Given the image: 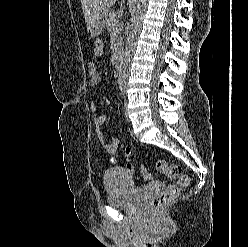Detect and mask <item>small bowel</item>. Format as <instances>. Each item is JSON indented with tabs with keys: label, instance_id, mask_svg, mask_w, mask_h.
<instances>
[{
	"label": "small bowel",
	"instance_id": "obj_1",
	"mask_svg": "<svg viewBox=\"0 0 248 247\" xmlns=\"http://www.w3.org/2000/svg\"><path fill=\"white\" fill-rule=\"evenodd\" d=\"M103 54V43L101 41H97L95 44V47L92 52V59L88 65V70H89V76H90V83L92 86H97L101 82V76L99 73V69L96 63V59L99 58ZM90 110L92 112H96L98 110V104L96 102H91L90 104ZM106 121V116L104 114H99L95 116L93 122L97 130V135L99 139L103 140V133L101 130V127ZM119 146V140L116 137H112V140L110 143H103L104 150L106 151L107 154L112 156L111 161L114 163V155L116 154ZM131 154L132 150L130 147H126L124 149V156L126 163L122 166L123 169H125L132 177L134 181V167L132 163L130 162L131 160Z\"/></svg>",
	"mask_w": 248,
	"mask_h": 247
}]
</instances>
